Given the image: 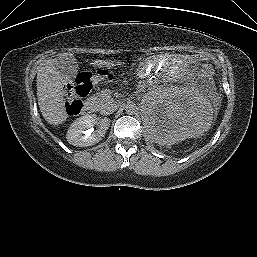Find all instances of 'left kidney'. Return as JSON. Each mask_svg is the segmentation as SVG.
<instances>
[{
  "label": "left kidney",
  "mask_w": 257,
  "mask_h": 257,
  "mask_svg": "<svg viewBox=\"0 0 257 257\" xmlns=\"http://www.w3.org/2000/svg\"><path fill=\"white\" fill-rule=\"evenodd\" d=\"M206 104L193 90L171 87L157 92L144 107L150 138L160 145H172L201 135L209 128Z\"/></svg>",
  "instance_id": "5707ae66"
}]
</instances>
